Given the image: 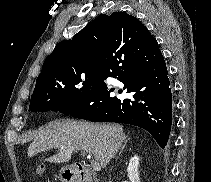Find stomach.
<instances>
[{"label":"stomach","mask_w":211,"mask_h":182,"mask_svg":"<svg viewBox=\"0 0 211 182\" xmlns=\"http://www.w3.org/2000/svg\"><path fill=\"white\" fill-rule=\"evenodd\" d=\"M59 178L61 182H77V173L70 166L62 167Z\"/></svg>","instance_id":"1"}]
</instances>
